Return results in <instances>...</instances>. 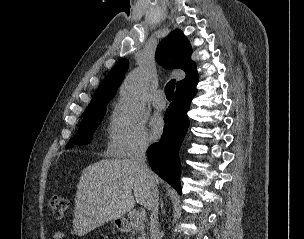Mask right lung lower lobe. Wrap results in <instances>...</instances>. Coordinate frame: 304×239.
Here are the masks:
<instances>
[{
    "instance_id": "1",
    "label": "right lung lower lobe",
    "mask_w": 304,
    "mask_h": 239,
    "mask_svg": "<svg viewBox=\"0 0 304 239\" xmlns=\"http://www.w3.org/2000/svg\"><path fill=\"white\" fill-rule=\"evenodd\" d=\"M197 83L198 75L176 89L174 101L164 116L163 135L159 142L154 143L147 150L152 170L174 187L178 193H181L178 153L189 127L187 112L191 100L197 92Z\"/></svg>"
}]
</instances>
